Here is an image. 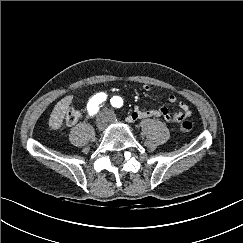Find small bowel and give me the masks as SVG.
I'll use <instances>...</instances> for the list:
<instances>
[{"label": "small bowel", "mask_w": 243, "mask_h": 243, "mask_svg": "<svg viewBox=\"0 0 243 243\" xmlns=\"http://www.w3.org/2000/svg\"><path fill=\"white\" fill-rule=\"evenodd\" d=\"M144 91H150L151 86L149 84H144L142 86ZM168 101L172 104L178 103L180 111L176 113H170L167 108H143L136 106L130 115L131 120L145 117H163L166 121L171 123H180L190 117L191 111L188 105L184 102H178L177 97L174 94L168 95Z\"/></svg>", "instance_id": "obj_1"}]
</instances>
